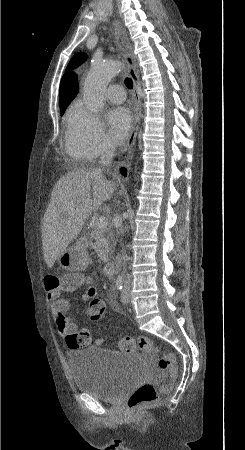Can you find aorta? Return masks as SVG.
I'll return each instance as SVG.
<instances>
[{
	"instance_id": "aorta-1",
	"label": "aorta",
	"mask_w": 245,
	"mask_h": 450,
	"mask_svg": "<svg viewBox=\"0 0 245 450\" xmlns=\"http://www.w3.org/2000/svg\"><path fill=\"white\" fill-rule=\"evenodd\" d=\"M122 67V62L115 60L92 64L83 87L84 102L89 111L99 113L103 109L106 86Z\"/></svg>"
}]
</instances>
